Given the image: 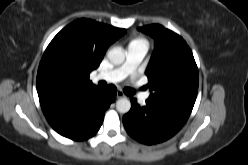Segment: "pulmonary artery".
I'll use <instances>...</instances> for the list:
<instances>
[{
	"label": "pulmonary artery",
	"instance_id": "e3ab8cb5",
	"mask_svg": "<svg viewBox=\"0 0 248 165\" xmlns=\"http://www.w3.org/2000/svg\"><path fill=\"white\" fill-rule=\"evenodd\" d=\"M147 46L143 42H131L126 51V58L124 63L107 73L98 75L99 79H103L110 83H117L125 79L127 76L132 75L147 52ZM135 90L138 97L142 102H145L150 97L148 91H142L135 85Z\"/></svg>",
	"mask_w": 248,
	"mask_h": 165
}]
</instances>
